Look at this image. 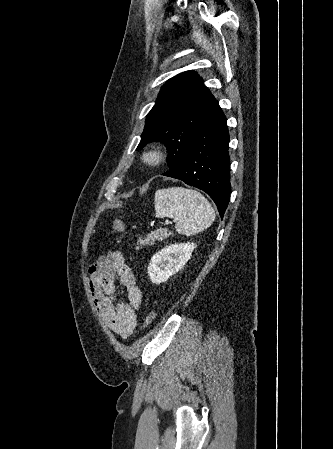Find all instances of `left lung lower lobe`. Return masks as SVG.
<instances>
[{
  "label": "left lung lower lobe",
  "instance_id": "0a47b994",
  "mask_svg": "<svg viewBox=\"0 0 333 449\" xmlns=\"http://www.w3.org/2000/svg\"><path fill=\"white\" fill-rule=\"evenodd\" d=\"M226 117L216 102L197 131L182 164L163 173L206 192L221 218L230 200L229 132Z\"/></svg>",
  "mask_w": 333,
  "mask_h": 449
}]
</instances>
